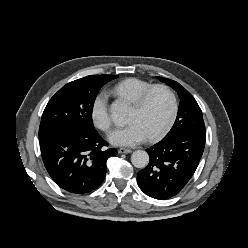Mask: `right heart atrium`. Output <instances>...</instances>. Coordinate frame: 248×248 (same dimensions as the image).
Returning <instances> with one entry per match:
<instances>
[{
  "label": "right heart atrium",
  "mask_w": 248,
  "mask_h": 248,
  "mask_svg": "<svg viewBox=\"0 0 248 248\" xmlns=\"http://www.w3.org/2000/svg\"><path fill=\"white\" fill-rule=\"evenodd\" d=\"M91 118L96 127L108 131L112 126V117L108 106V94L100 92L91 105Z\"/></svg>",
  "instance_id": "obj_1"
}]
</instances>
